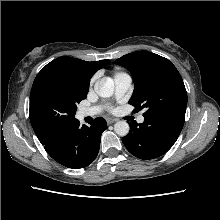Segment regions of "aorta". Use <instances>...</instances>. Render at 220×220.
<instances>
[{"mask_svg":"<svg viewBox=\"0 0 220 220\" xmlns=\"http://www.w3.org/2000/svg\"><path fill=\"white\" fill-rule=\"evenodd\" d=\"M94 90L100 97H111L114 93V85L112 82L101 80L94 85ZM129 124L124 121H118L114 124V131L119 136H126L129 133Z\"/></svg>","mask_w":220,"mask_h":220,"instance_id":"762f6f07","label":"aorta"}]
</instances>
